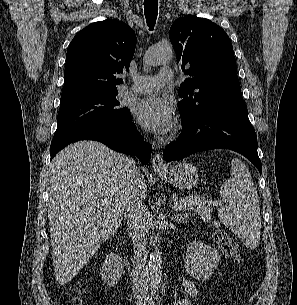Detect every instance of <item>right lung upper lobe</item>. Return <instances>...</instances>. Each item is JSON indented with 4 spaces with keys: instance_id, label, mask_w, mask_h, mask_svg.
I'll list each match as a JSON object with an SVG mask.
<instances>
[{
    "instance_id": "1",
    "label": "right lung upper lobe",
    "mask_w": 297,
    "mask_h": 305,
    "mask_svg": "<svg viewBox=\"0 0 297 305\" xmlns=\"http://www.w3.org/2000/svg\"><path fill=\"white\" fill-rule=\"evenodd\" d=\"M136 47L135 32L115 20L95 22L71 41L66 55L61 100L93 92L116 91L129 69Z\"/></svg>"
}]
</instances>
